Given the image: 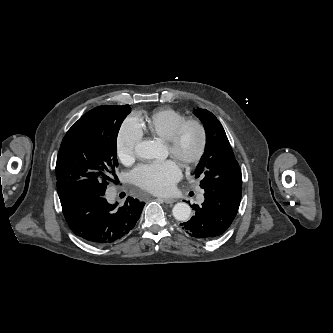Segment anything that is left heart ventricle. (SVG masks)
Wrapping results in <instances>:
<instances>
[{
    "label": "left heart ventricle",
    "instance_id": "b2bd125f",
    "mask_svg": "<svg viewBox=\"0 0 333 333\" xmlns=\"http://www.w3.org/2000/svg\"><path fill=\"white\" fill-rule=\"evenodd\" d=\"M197 145L198 133L195 129L190 128L184 133L181 143V153L190 156L196 151Z\"/></svg>",
    "mask_w": 333,
    "mask_h": 333
}]
</instances>
